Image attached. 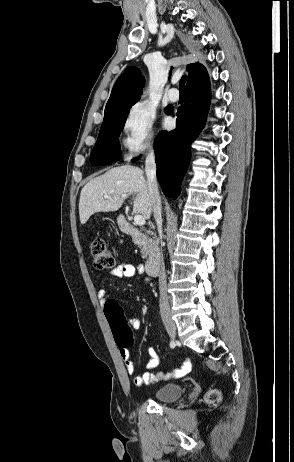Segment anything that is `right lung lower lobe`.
Here are the masks:
<instances>
[{
    "mask_svg": "<svg viewBox=\"0 0 294 462\" xmlns=\"http://www.w3.org/2000/svg\"><path fill=\"white\" fill-rule=\"evenodd\" d=\"M211 100L208 74L187 85V96L176 115V129L155 139L157 177L163 192L177 198L190 161V146L203 128ZM137 160L133 159V161Z\"/></svg>",
    "mask_w": 294,
    "mask_h": 462,
    "instance_id": "1",
    "label": "right lung lower lobe"
}]
</instances>
